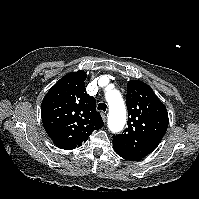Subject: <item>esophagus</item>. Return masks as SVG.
I'll return each mask as SVG.
<instances>
[{"instance_id":"1","label":"esophagus","mask_w":199,"mask_h":199,"mask_svg":"<svg viewBox=\"0 0 199 199\" xmlns=\"http://www.w3.org/2000/svg\"><path fill=\"white\" fill-rule=\"evenodd\" d=\"M101 117H102L103 121L106 122L107 116L104 112L101 113Z\"/></svg>"}]
</instances>
